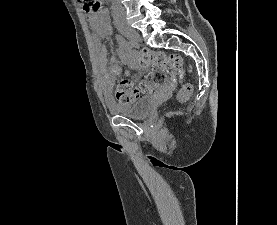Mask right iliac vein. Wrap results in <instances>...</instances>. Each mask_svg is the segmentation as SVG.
Listing matches in <instances>:
<instances>
[{
    "instance_id": "right-iliac-vein-1",
    "label": "right iliac vein",
    "mask_w": 277,
    "mask_h": 225,
    "mask_svg": "<svg viewBox=\"0 0 277 225\" xmlns=\"http://www.w3.org/2000/svg\"><path fill=\"white\" fill-rule=\"evenodd\" d=\"M120 32L134 43H139L141 41L139 33L132 28L124 27L120 29Z\"/></svg>"
}]
</instances>
